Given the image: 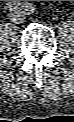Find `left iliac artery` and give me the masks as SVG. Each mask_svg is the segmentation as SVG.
<instances>
[{
  "label": "left iliac artery",
  "instance_id": "1",
  "mask_svg": "<svg viewBox=\"0 0 74 122\" xmlns=\"http://www.w3.org/2000/svg\"><path fill=\"white\" fill-rule=\"evenodd\" d=\"M35 10L34 6L32 4H27L26 7H25V12L27 14H31L33 13Z\"/></svg>",
  "mask_w": 74,
  "mask_h": 122
}]
</instances>
